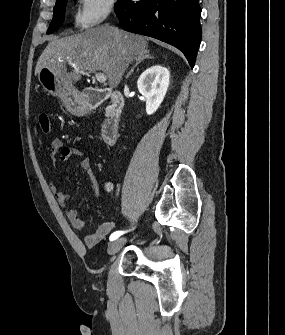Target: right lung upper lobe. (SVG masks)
I'll return each instance as SVG.
<instances>
[{"instance_id": "obj_1", "label": "right lung upper lobe", "mask_w": 285, "mask_h": 335, "mask_svg": "<svg viewBox=\"0 0 285 335\" xmlns=\"http://www.w3.org/2000/svg\"><path fill=\"white\" fill-rule=\"evenodd\" d=\"M63 0H56V4H58V3H60V2H62Z\"/></svg>"}]
</instances>
